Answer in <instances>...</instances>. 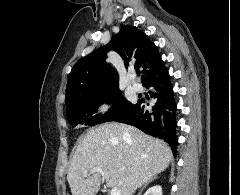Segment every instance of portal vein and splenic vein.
Masks as SVG:
<instances>
[{"mask_svg": "<svg viewBox=\"0 0 240 195\" xmlns=\"http://www.w3.org/2000/svg\"><path fill=\"white\" fill-rule=\"evenodd\" d=\"M96 171L102 173L101 167H92V169H90V173H96ZM84 177H87V173H84ZM111 195H121L120 189H118V187H112Z\"/></svg>", "mask_w": 240, "mask_h": 195, "instance_id": "portal-vein-and-splenic-vein-1", "label": "portal vein and splenic vein"}]
</instances>
